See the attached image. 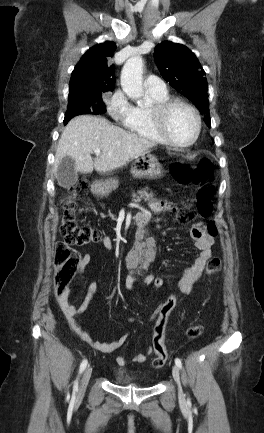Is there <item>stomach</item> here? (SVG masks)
<instances>
[{
  "label": "stomach",
  "instance_id": "0dacf381",
  "mask_svg": "<svg viewBox=\"0 0 264 433\" xmlns=\"http://www.w3.org/2000/svg\"><path fill=\"white\" fill-rule=\"evenodd\" d=\"M131 173L138 179H157L163 176V169L154 155L146 153L135 160L131 168ZM117 187L118 181L116 179H109L96 182L93 189L97 194L106 195Z\"/></svg>",
  "mask_w": 264,
  "mask_h": 433
}]
</instances>
